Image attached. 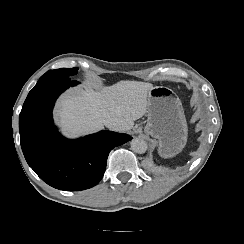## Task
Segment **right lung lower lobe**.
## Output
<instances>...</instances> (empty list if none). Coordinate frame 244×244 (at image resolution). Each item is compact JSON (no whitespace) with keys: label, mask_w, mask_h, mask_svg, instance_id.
<instances>
[{"label":"right lung lower lobe","mask_w":244,"mask_h":244,"mask_svg":"<svg viewBox=\"0 0 244 244\" xmlns=\"http://www.w3.org/2000/svg\"><path fill=\"white\" fill-rule=\"evenodd\" d=\"M78 82L67 76L40 79L29 92L19 115L21 148L34 172L50 186L66 191L91 188L102 179L109 152L132 139L101 131L77 140L55 129L52 109L57 97Z\"/></svg>","instance_id":"right-lung-lower-lobe-1"}]
</instances>
